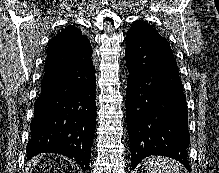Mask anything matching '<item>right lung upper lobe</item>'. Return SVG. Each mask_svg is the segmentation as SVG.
I'll list each match as a JSON object with an SVG mask.
<instances>
[{
  "instance_id": "right-lung-upper-lobe-1",
  "label": "right lung upper lobe",
  "mask_w": 219,
  "mask_h": 173,
  "mask_svg": "<svg viewBox=\"0 0 219 173\" xmlns=\"http://www.w3.org/2000/svg\"><path fill=\"white\" fill-rule=\"evenodd\" d=\"M92 54L88 38L75 26H67L48 42L47 59L55 65L63 66L76 56Z\"/></svg>"
}]
</instances>
